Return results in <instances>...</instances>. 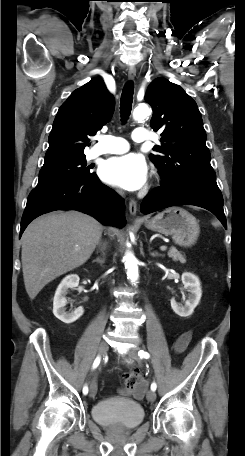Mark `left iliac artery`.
Segmentation results:
<instances>
[{
    "label": "left iliac artery",
    "instance_id": "44dca946",
    "mask_svg": "<svg viewBox=\"0 0 245 456\" xmlns=\"http://www.w3.org/2000/svg\"><path fill=\"white\" fill-rule=\"evenodd\" d=\"M138 355L140 356V358H146V359H148V358L150 357V354H149L148 352H146V351H143V350H140L139 353H138ZM156 388H157V385H156L155 382H153V383L151 384V390L155 391Z\"/></svg>",
    "mask_w": 245,
    "mask_h": 456
}]
</instances>
